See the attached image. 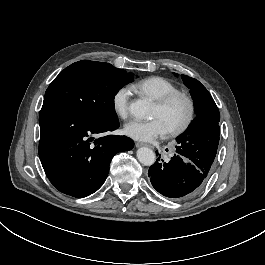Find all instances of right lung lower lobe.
<instances>
[{
	"label": "right lung lower lobe",
	"instance_id": "right-lung-lower-lobe-1",
	"mask_svg": "<svg viewBox=\"0 0 265 265\" xmlns=\"http://www.w3.org/2000/svg\"><path fill=\"white\" fill-rule=\"evenodd\" d=\"M39 124V157L47 177L57 190L77 198L96 192L112 157L134 146L126 136L93 138L117 129L118 122H92L57 107H42Z\"/></svg>",
	"mask_w": 265,
	"mask_h": 265
}]
</instances>
